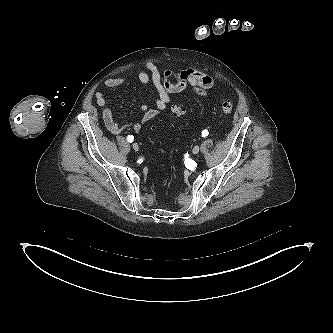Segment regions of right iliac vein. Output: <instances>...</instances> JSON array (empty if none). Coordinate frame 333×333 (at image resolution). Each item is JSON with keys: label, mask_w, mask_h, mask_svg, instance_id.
Listing matches in <instances>:
<instances>
[{"label": "right iliac vein", "mask_w": 333, "mask_h": 333, "mask_svg": "<svg viewBox=\"0 0 333 333\" xmlns=\"http://www.w3.org/2000/svg\"><path fill=\"white\" fill-rule=\"evenodd\" d=\"M132 147H133V149H134L135 151H138V150H139V146H138L137 143H133V144H132Z\"/></svg>", "instance_id": "right-iliac-vein-1"}]
</instances>
